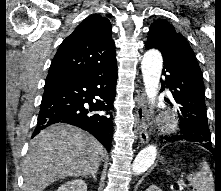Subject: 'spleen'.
<instances>
[{"instance_id":"1","label":"spleen","mask_w":221,"mask_h":191,"mask_svg":"<svg viewBox=\"0 0 221 191\" xmlns=\"http://www.w3.org/2000/svg\"><path fill=\"white\" fill-rule=\"evenodd\" d=\"M167 173H170L167 171ZM188 181L196 191H214V178L207 162L203 161L200 170L188 176Z\"/></svg>"}]
</instances>
